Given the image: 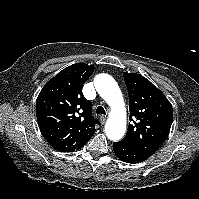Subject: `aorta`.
Masks as SVG:
<instances>
[{"instance_id": "obj_1", "label": "aorta", "mask_w": 199, "mask_h": 199, "mask_svg": "<svg viewBox=\"0 0 199 199\" xmlns=\"http://www.w3.org/2000/svg\"><path fill=\"white\" fill-rule=\"evenodd\" d=\"M94 85L100 96L112 108L105 125V133L108 139L118 141L126 130V108L122 93L116 81L108 74H98L94 78Z\"/></svg>"}]
</instances>
